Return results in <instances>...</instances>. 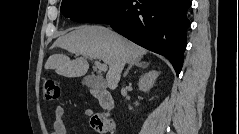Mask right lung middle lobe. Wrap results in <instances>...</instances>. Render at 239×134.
I'll use <instances>...</instances> for the list:
<instances>
[{
	"label": "right lung middle lobe",
	"mask_w": 239,
	"mask_h": 134,
	"mask_svg": "<svg viewBox=\"0 0 239 134\" xmlns=\"http://www.w3.org/2000/svg\"><path fill=\"white\" fill-rule=\"evenodd\" d=\"M120 0H63L61 12L65 17L86 23L113 8Z\"/></svg>",
	"instance_id": "right-lung-middle-lobe-1"
}]
</instances>
